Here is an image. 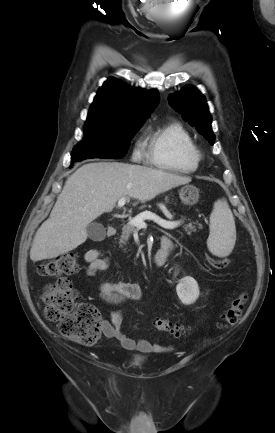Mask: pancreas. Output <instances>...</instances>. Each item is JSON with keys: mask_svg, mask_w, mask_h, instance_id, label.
<instances>
[{"mask_svg": "<svg viewBox=\"0 0 275 433\" xmlns=\"http://www.w3.org/2000/svg\"><path fill=\"white\" fill-rule=\"evenodd\" d=\"M182 228L188 233H192V232H196L197 231V227L194 225V223H188V224H184L182 226ZM199 228H201V225H199ZM135 232V226L131 225L130 223L124 225L122 227V235L120 238V244L122 246V244H125L126 241H128V239L130 238V235L133 234Z\"/></svg>", "mask_w": 275, "mask_h": 433, "instance_id": "cf45deb5", "label": "pancreas"}]
</instances>
